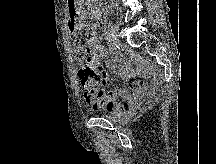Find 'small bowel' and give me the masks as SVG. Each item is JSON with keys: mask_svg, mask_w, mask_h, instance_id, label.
<instances>
[{"mask_svg": "<svg viewBox=\"0 0 216 164\" xmlns=\"http://www.w3.org/2000/svg\"><path fill=\"white\" fill-rule=\"evenodd\" d=\"M85 48L78 47L76 56L84 55L96 68L102 72L101 59L106 55V49L98 41L95 33V27L89 25L85 29ZM110 68L119 73L123 80L129 81V86L133 92L122 89L119 91H106L103 88H96L90 91H84V100L96 111H104L112 114L116 118L128 116L136 107L138 100L147 91V86L141 81V77L146 75V67L141 60H137V65L130 68V61L121 54H113L108 62ZM103 75V84L105 85L108 76ZM118 98L123 100V103L118 102Z\"/></svg>", "mask_w": 216, "mask_h": 164, "instance_id": "c3829d8e", "label": "small bowel"}]
</instances>
